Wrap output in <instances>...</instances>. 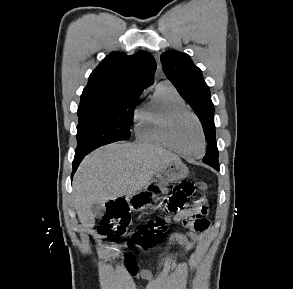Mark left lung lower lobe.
<instances>
[{"mask_svg": "<svg viewBox=\"0 0 293 289\" xmlns=\"http://www.w3.org/2000/svg\"><path fill=\"white\" fill-rule=\"evenodd\" d=\"M214 144L212 142L207 143V148H211ZM214 169L219 171V166H213Z\"/></svg>", "mask_w": 293, "mask_h": 289, "instance_id": "0a47b994", "label": "left lung lower lobe"}]
</instances>
